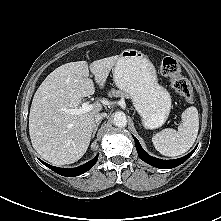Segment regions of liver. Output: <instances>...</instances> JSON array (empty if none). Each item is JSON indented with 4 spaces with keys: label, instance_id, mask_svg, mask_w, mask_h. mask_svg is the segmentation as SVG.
<instances>
[{
    "label": "liver",
    "instance_id": "1",
    "mask_svg": "<svg viewBox=\"0 0 221 221\" xmlns=\"http://www.w3.org/2000/svg\"><path fill=\"white\" fill-rule=\"evenodd\" d=\"M119 56L66 63L51 72L34 94L29 113V134L33 148L53 165L78 161L87 151L100 103L81 115H71L66 109L78 108L84 97L93 95L95 86L89 78V68L95 83L103 88Z\"/></svg>",
    "mask_w": 221,
    "mask_h": 221
}]
</instances>
